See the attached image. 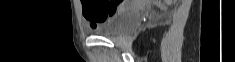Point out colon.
Here are the masks:
<instances>
[{
    "instance_id": "obj_1",
    "label": "colon",
    "mask_w": 235,
    "mask_h": 62,
    "mask_svg": "<svg viewBox=\"0 0 235 62\" xmlns=\"http://www.w3.org/2000/svg\"><path fill=\"white\" fill-rule=\"evenodd\" d=\"M124 3L123 0H85L84 16L97 25L107 21Z\"/></svg>"
}]
</instances>
